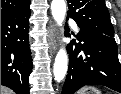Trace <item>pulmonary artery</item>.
<instances>
[{
  "label": "pulmonary artery",
  "instance_id": "1",
  "mask_svg": "<svg viewBox=\"0 0 121 94\" xmlns=\"http://www.w3.org/2000/svg\"><path fill=\"white\" fill-rule=\"evenodd\" d=\"M71 26H72V28H73L76 32L79 31L78 26H77V23H76L75 21H71Z\"/></svg>",
  "mask_w": 121,
  "mask_h": 94
}]
</instances>
